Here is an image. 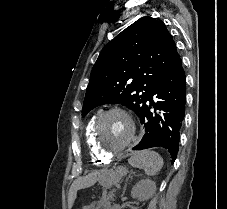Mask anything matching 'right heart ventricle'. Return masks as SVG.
<instances>
[{
    "label": "right heart ventricle",
    "mask_w": 227,
    "mask_h": 209,
    "mask_svg": "<svg viewBox=\"0 0 227 209\" xmlns=\"http://www.w3.org/2000/svg\"><path fill=\"white\" fill-rule=\"evenodd\" d=\"M96 117L97 116H93L92 118H90L85 126V129H84L85 143L87 145L91 160L94 163L96 164L108 163L111 161V158L101 155L96 149V147L94 146V143L92 140V129H93Z\"/></svg>",
    "instance_id": "right-heart-ventricle-1"
}]
</instances>
